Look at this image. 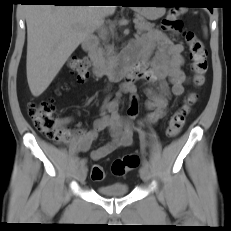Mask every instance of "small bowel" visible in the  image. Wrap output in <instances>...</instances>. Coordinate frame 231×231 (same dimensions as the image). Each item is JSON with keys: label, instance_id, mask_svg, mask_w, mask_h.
<instances>
[{"label": "small bowel", "instance_id": "small-bowel-1", "mask_svg": "<svg viewBox=\"0 0 231 231\" xmlns=\"http://www.w3.org/2000/svg\"><path fill=\"white\" fill-rule=\"evenodd\" d=\"M134 50L140 52L139 62L126 76L122 85V91L130 96L127 117L119 115V100L115 99L108 105V112L95 121L93 128L71 144L72 148L87 152L99 133L107 130L110 141L90 152V157L94 161L133 144V121L138 114L139 104L136 81H142L144 84L147 96L146 109L149 110L148 121L151 123L157 122L167 114L172 97H181L185 92L187 76L183 71L185 59L182 44L174 43L161 30H153L141 38ZM70 121V118H64L61 123L65 125Z\"/></svg>", "mask_w": 231, "mask_h": 231}]
</instances>
